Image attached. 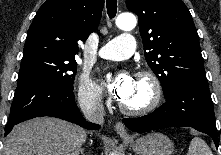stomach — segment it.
<instances>
[{"instance_id":"obj_1","label":"stomach","mask_w":221,"mask_h":155,"mask_svg":"<svg viewBox=\"0 0 221 155\" xmlns=\"http://www.w3.org/2000/svg\"><path fill=\"white\" fill-rule=\"evenodd\" d=\"M137 155H173L174 144L164 134L152 132L136 140L124 138Z\"/></svg>"}]
</instances>
